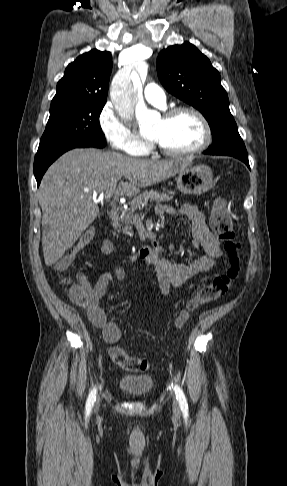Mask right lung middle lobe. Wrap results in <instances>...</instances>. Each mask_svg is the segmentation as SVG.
Returning <instances> with one entry per match:
<instances>
[{"mask_svg": "<svg viewBox=\"0 0 287 486\" xmlns=\"http://www.w3.org/2000/svg\"><path fill=\"white\" fill-rule=\"evenodd\" d=\"M106 101H81L50 107V117L37 153L73 145L103 148L105 136L99 116Z\"/></svg>", "mask_w": 287, "mask_h": 486, "instance_id": "obj_1", "label": "right lung middle lobe"}]
</instances>
